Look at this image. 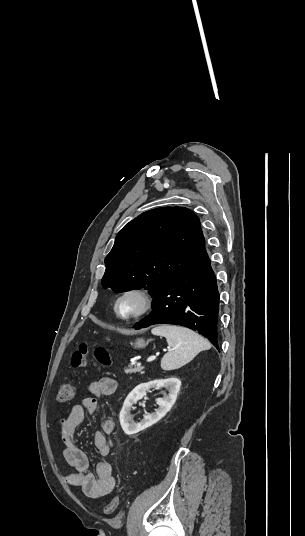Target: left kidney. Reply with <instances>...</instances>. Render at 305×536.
Returning a JSON list of instances; mask_svg holds the SVG:
<instances>
[{
  "label": "left kidney",
  "instance_id": "left-kidney-1",
  "mask_svg": "<svg viewBox=\"0 0 305 536\" xmlns=\"http://www.w3.org/2000/svg\"><path fill=\"white\" fill-rule=\"evenodd\" d=\"M180 386L181 382L178 378L153 380V382H147V384H139V386H136V388L128 394L120 412V424L125 434H128V436L138 434L141 430H146V428L153 426V424L159 422L161 418H164L167 412L171 410L173 404H175ZM150 388H166L168 394H165L164 398H157L156 402L159 408H157L153 414H147L144 420L135 424V422H131V408H133V404H136L137 400H142V398H144L146 392H148Z\"/></svg>",
  "mask_w": 305,
  "mask_h": 536
}]
</instances>
